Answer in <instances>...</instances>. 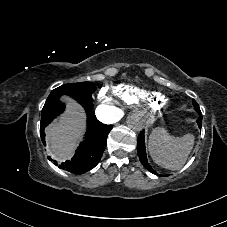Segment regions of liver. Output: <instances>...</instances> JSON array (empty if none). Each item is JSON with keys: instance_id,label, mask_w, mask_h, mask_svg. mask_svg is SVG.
Segmentation results:
<instances>
[{"instance_id": "obj_1", "label": "liver", "mask_w": 227, "mask_h": 227, "mask_svg": "<svg viewBox=\"0 0 227 227\" xmlns=\"http://www.w3.org/2000/svg\"><path fill=\"white\" fill-rule=\"evenodd\" d=\"M82 124V113L76 106H71L69 112L61 120L47 129L50 138V151L58 158L66 159L72 156L74 151V139L77 129Z\"/></svg>"}]
</instances>
